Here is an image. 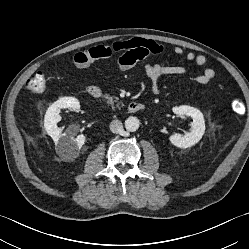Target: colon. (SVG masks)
<instances>
[{"label":"colon","instance_id":"obj_1","mask_svg":"<svg viewBox=\"0 0 249 249\" xmlns=\"http://www.w3.org/2000/svg\"><path fill=\"white\" fill-rule=\"evenodd\" d=\"M46 83V76L43 73H37L27 80L26 88L34 94H41L46 89ZM231 109L237 115L244 113V102L240 98H234L231 101Z\"/></svg>","mask_w":249,"mask_h":249}]
</instances>
